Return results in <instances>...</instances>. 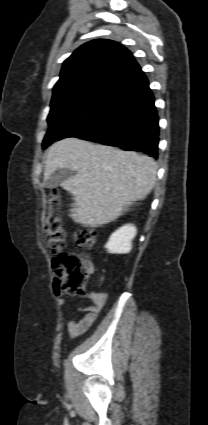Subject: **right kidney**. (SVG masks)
<instances>
[{"label":"right kidney","mask_w":208,"mask_h":425,"mask_svg":"<svg viewBox=\"0 0 208 425\" xmlns=\"http://www.w3.org/2000/svg\"><path fill=\"white\" fill-rule=\"evenodd\" d=\"M137 234V229L132 224H127L116 230L109 238L105 248L109 253L126 254L132 249V240Z\"/></svg>","instance_id":"obj_1"}]
</instances>
